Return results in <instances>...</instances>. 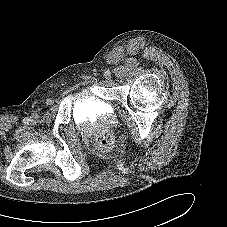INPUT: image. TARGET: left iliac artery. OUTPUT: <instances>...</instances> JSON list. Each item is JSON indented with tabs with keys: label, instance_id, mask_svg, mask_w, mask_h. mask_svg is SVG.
I'll list each match as a JSON object with an SVG mask.
<instances>
[{
	"label": "left iliac artery",
	"instance_id": "1",
	"mask_svg": "<svg viewBox=\"0 0 227 227\" xmlns=\"http://www.w3.org/2000/svg\"><path fill=\"white\" fill-rule=\"evenodd\" d=\"M105 75H106V76H110V75H111L110 70H107V71L105 72Z\"/></svg>",
	"mask_w": 227,
	"mask_h": 227
}]
</instances>
